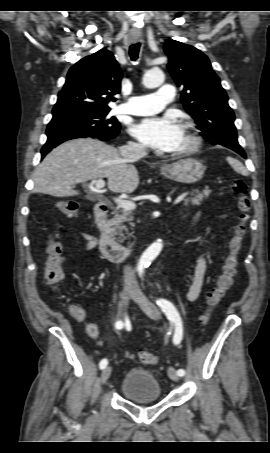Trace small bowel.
I'll use <instances>...</instances> for the list:
<instances>
[{
	"label": "small bowel",
	"instance_id": "c3829d8e",
	"mask_svg": "<svg viewBox=\"0 0 270 453\" xmlns=\"http://www.w3.org/2000/svg\"><path fill=\"white\" fill-rule=\"evenodd\" d=\"M81 236L86 241V243L81 248L82 252H88L96 247L97 240L92 234L83 232L81 234ZM205 272H206V260H205L204 256L200 255L198 257L197 264H196V267L194 270L193 279H192V282H191V285H190V288H189V291L187 294V299L189 301H195L199 297L201 289H202ZM79 309L81 310L82 315L79 317H76V318L80 321H84L85 320L84 311L81 308H79ZM86 330H87L88 335L92 339H96L98 337V334H99L98 327L95 323L86 322ZM125 356L128 358H133V354H131L127 351H125Z\"/></svg>",
	"mask_w": 270,
	"mask_h": 453
}]
</instances>
